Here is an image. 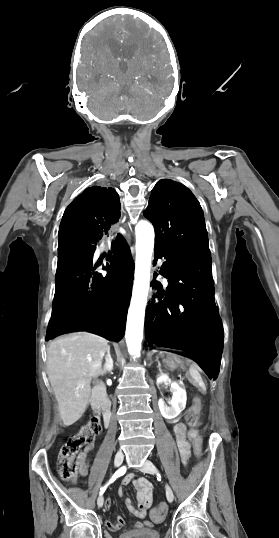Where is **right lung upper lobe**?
Here are the masks:
<instances>
[{
	"label": "right lung upper lobe",
	"mask_w": 279,
	"mask_h": 538,
	"mask_svg": "<svg viewBox=\"0 0 279 538\" xmlns=\"http://www.w3.org/2000/svg\"><path fill=\"white\" fill-rule=\"evenodd\" d=\"M99 333H101V334H103V335H107V334H105V333H102V332H99Z\"/></svg>",
	"instance_id": "1"
}]
</instances>
